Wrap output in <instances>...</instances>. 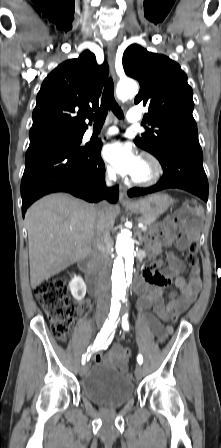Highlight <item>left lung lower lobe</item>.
I'll return each instance as SVG.
<instances>
[{
	"label": "left lung lower lobe",
	"instance_id": "obj_1",
	"mask_svg": "<svg viewBox=\"0 0 221 448\" xmlns=\"http://www.w3.org/2000/svg\"><path fill=\"white\" fill-rule=\"evenodd\" d=\"M163 168L160 181L150 188H132L129 197L145 195L166 188L189 191L208 200V181L203 169L201 147H174L157 157Z\"/></svg>",
	"mask_w": 221,
	"mask_h": 448
}]
</instances>
